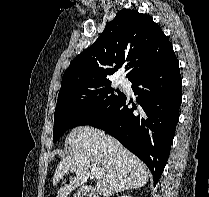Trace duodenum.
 Returning a JSON list of instances; mask_svg holds the SVG:
<instances>
[{
  "label": "duodenum",
  "mask_w": 209,
  "mask_h": 197,
  "mask_svg": "<svg viewBox=\"0 0 209 197\" xmlns=\"http://www.w3.org/2000/svg\"><path fill=\"white\" fill-rule=\"evenodd\" d=\"M85 194H87L89 197H99L98 194L95 192L92 188H85L84 189Z\"/></svg>",
  "instance_id": "1"
}]
</instances>
